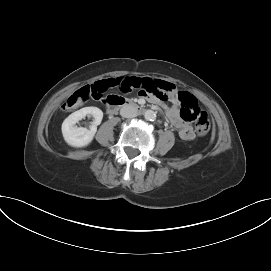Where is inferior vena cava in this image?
I'll return each mask as SVG.
<instances>
[{
  "label": "inferior vena cava",
  "mask_w": 271,
  "mask_h": 271,
  "mask_svg": "<svg viewBox=\"0 0 271 271\" xmlns=\"http://www.w3.org/2000/svg\"><path fill=\"white\" fill-rule=\"evenodd\" d=\"M120 115L125 118H133L137 116V112L133 106L127 104L120 109Z\"/></svg>",
  "instance_id": "obj_1"
}]
</instances>
